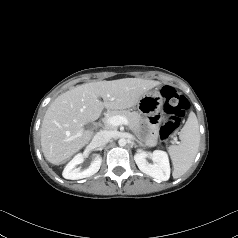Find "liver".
I'll list each match as a JSON object with an SVG mask.
<instances>
[{"label":"liver","mask_w":238,"mask_h":238,"mask_svg":"<svg viewBox=\"0 0 238 238\" xmlns=\"http://www.w3.org/2000/svg\"><path fill=\"white\" fill-rule=\"evenodd\" d=\"M159 84L140 78L104 80L78 85L59 95L48 107L41 125L45 159L55 165L69 159L89 143L94 133L85 130L84 125L97 120L104 108H131Z\"/></svg>","instance_id":"obj_1"}]
</instances>
